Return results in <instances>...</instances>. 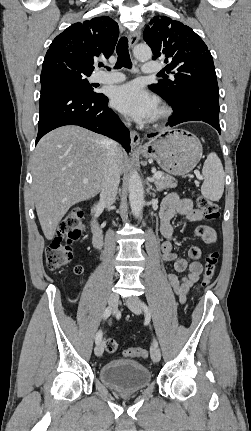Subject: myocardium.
I'll return each instance as SVG.
<instances>
[{
  "instance_id": "f54148a6",
  "label": "myocardium",
  "mask_w": 251,
  "mask_h": 431,
  "mask_svg": "<svg viewBox=\"0 0 251 431\" xmlns=\"http://www.w3.org/2000/svg\"><path fill=\"white\" fill-rule=\"evenodd\" d=\"M170 115H171L170 108L166 105H160L157 108L154 116L152 117L151 122L154 126H160L162 123L168 120Z\"/></svg>"
}]
</instances>
